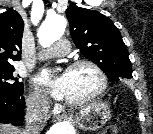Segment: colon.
<instances>
[{"instance_id":"1","label":"colon","mask_w":153,"mask_h":134,"mask_svg":"<svg viewBox=\"0 0 153 134\" xmlns=\"http://www.w3.org/2000/svg\"><path fill=\"white\" fill-rule=\"evenodd\" d=\"M102 134H118V133L115 127H108L102 132Z\"/></svg>"}]
</instances>
